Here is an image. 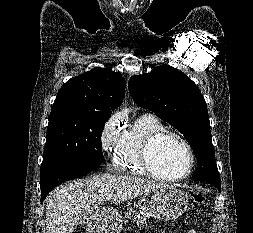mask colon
Returning a JSON list of instances; mask_svg holds the SVG:
<instances>
[{
  "label": "colon",
  "instance_id": "1",
  "mask_svg": "<svg viewBox=\"0 0 253 233\" xmlns=\"http://www.w3.org/2000/svg\"><path fill=\"white\" fill-rule=\"evenodd\" d=\"M192 201H193L195 204H202V203H204V201H205V197H204V195L201 194V193H194V194L192 195ZM73 233H80V232L75 231V232H73Z\"/></svg>",
  "mask_w": 253,
  "mask_h": 233
}]
</instances>
